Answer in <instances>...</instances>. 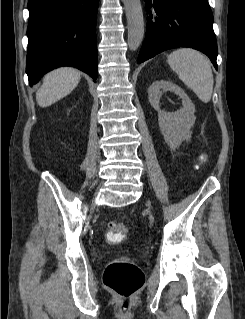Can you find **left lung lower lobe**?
I'll return each instance as SVG.
<instances>
[{
  "mask_svg": "<svg viewBox=\"0 0 245 319\" xmlns=\"http://www.w3.org/2000/svg\"><path fill=\"white\" fill-rule=\"evenodd\" d=\"M148 19L137 63L176 47L205 53L217 69V42L208 0H144Z\"/></svg>",
  "mask_w": 245,
  "mask_h": 319,
  "instance_id": "0a47b994",
  "label": "left lung lower lobe"
}]
</instances>
